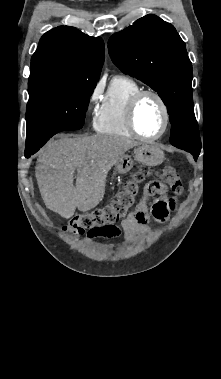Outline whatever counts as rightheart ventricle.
I'll return each instance as SVG.
<instances>
[{
	"mask_svg": "<svg viewBox=\"0 0 221 379\" xmlns=\"http://www.w3.org/2000/svg\"><path fill=\"white\" fill-rule=\"evenodd\" d=\"M141 88L136 81L125 76H115L94 117L96 132L117 137H132L127 124V105Z\"/></svg>",
	"mask_w": 221,
	"mask_h": 379,
	"instance_id": "obj_1",
	"label": "right heart ventricle"
}]
</instances>
